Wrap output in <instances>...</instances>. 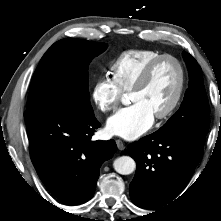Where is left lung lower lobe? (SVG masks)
<instances>
[{"label": "left lung lower lobe", "instance_id": "left-lung-lower-lobe-1", "mask_svg": "<svg viewBox=\"0 0 221 221\" xmlns=\"http://www.w3.org/2000/svg\"><path fill=\"white\" fill-rule=\"evenodd\" d=\"M206 134L157 131L130 144L137 163L130 197L141 208H160L177 197L189 182L203 155Z\"/></svg>", "mask_w": 221, "mask_h": 221}]
</instances>
